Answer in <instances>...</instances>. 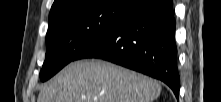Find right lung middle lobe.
I'll return each instance as SVG.
<instances>
[{
	"label": "right lung middle lobe",
	"mask_w": 221,
	"mask_h": 102,
	"mask_svg": "<svg viewBox=\"0 0 221 102\" xmlns=\"http://www.w3.org/2000/svg\"><path fill=\"white\" fill-rule=\"evenodd\" d=\"M134 8L130 0H84L48 21L46 59L40 73L46 81Z\"/></svg>",
	"instance_id": "right-lung-middle-lobe-1"
}]
</instances>
